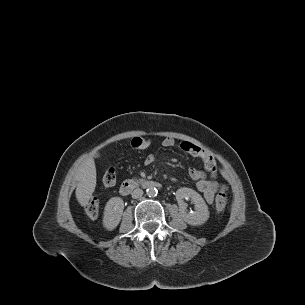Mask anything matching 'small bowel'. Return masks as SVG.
I'll return each instance as SVG.
<instances>
[{
    "label": "small bowel",
    "instance_id": "obj_1",
    "mask_svg": "<svg viewBox=\"0 0 305 305\" xmlns=\"http://www.w3.org/2000/svg\"><path fill=\"white\" fill-rule=\"evenodd\" d=\"M175 145V140L172 137H166L162 141L164 148H171ZM180 149L196 158H199L204 165V170L197 168L189 169V176L196 181L197 190L203 194L205 201L211 204L218 189V184L215 179L217 177V166L213 155L207 150L191 143L183 141L180 143ZM155 156L149 154L145 158V164L150 165L154 163Z\"/></svg>",
    "mask_w": 305,
    "mask_h": 305
}]
</instances>
